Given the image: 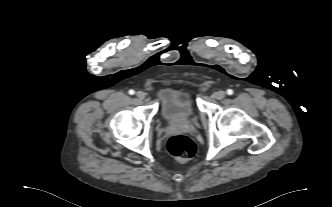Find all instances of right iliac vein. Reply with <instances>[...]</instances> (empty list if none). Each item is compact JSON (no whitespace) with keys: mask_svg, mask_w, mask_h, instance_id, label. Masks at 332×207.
I'll return each instance as SVG.
<instances>
[{"mask_svg":"<svg viewBox=\"0 0 332 207\" xmlns=\"http://www.w3.org/2000/svg\"><path fill=\"white\" fill-rule=\"evenodd\" d=\"M136 96H137L138 99L143 100V99H145L146 95H145V93L143 91H138L136 93Z\"/></svg>","mask_w":332,"mask_h":207,"instance_id":"63e3f726","label":"right iliac vein"}]
</instances>
